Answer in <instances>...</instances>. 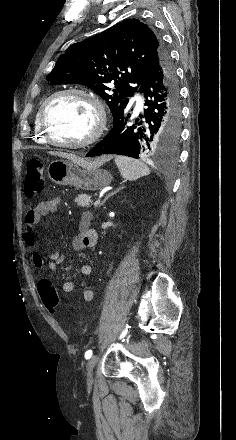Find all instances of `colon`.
Segmentation results:
<instances>
[{"instance_id":"colon-1","label":"colon","mask_w":236,"mask_h":440,"mask_svg":"<svg viewBox=\"0 0 236 440\" xmlns=\"http://www.w3.org/2000/svg\"><path fill=\"white\" fill-rule=\"evenodd\" d=\"M44 165L39 159H31L27 165L25 175V191L29 195L39 194L45 188ZM39 294L44 306L49 311H55L59 305V297L56 289L49 280H40L38 283Z\"/></svg>"}]
</instances>
